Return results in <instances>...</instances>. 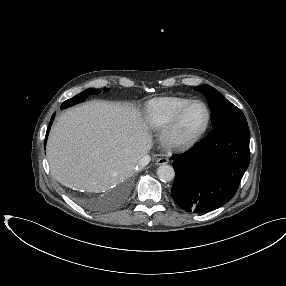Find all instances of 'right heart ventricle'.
Here are the masks:
<instances>
[{
  "label": "right heart ventricle",
  "instance_id": "1",
  "mask_svg": "<svg viewBox=\"0 0 286 286\" xmlns=\"http://www.w3.org/2000/svg\"><path fill=\"white\" fill-rule=\"evenodd\" d=\"M191 101L184 97H160L150 100L144 111L148 128L155 132L162 131Z\"/></svg>",
  "mask_w": 286,
  "mask_h": 286
}]
</instances>
